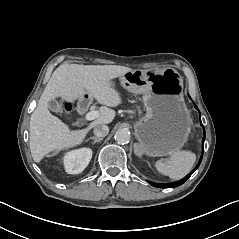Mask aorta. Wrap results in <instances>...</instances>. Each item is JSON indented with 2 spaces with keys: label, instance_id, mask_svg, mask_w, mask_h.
<instances>
[{
  "label": "aorta",
  "instance_id": "obj_1",
  "mask_svg": "<svg viewBox=\"0 0 239 239\" xmlns=\"http://www.w3.org/2000/svg\"><path fill=\"white\" fill-rule=\"evenodd\" d=\"M114 138L118 143L126 144L130 141L131 135L129 130L127 129H118L115 133Z\"/></svg>",
  "mask_w": 239,
  "mask_h": 239
}]
</instances>
